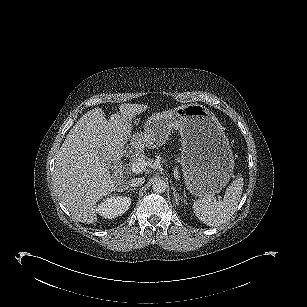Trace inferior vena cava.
I'll list each match as a JSON object with an SVG mask.
<instances>
[{
    "label": "inferior vena cava",
    "instance_id": "obj_1",
    "mask_svg": "<svg viewBox=\"0 0 307 307\" xmlns=\"http://www.w3.org/2000/svg\"><path fill=\"white\" fill-rule=\"evenodd\" d=\"M145 178H132L129 181V185L132 187H140L144 184Z\"/></svg>",
    "mask_w": 307,
    "mask_h": 307
}]
</instances>
